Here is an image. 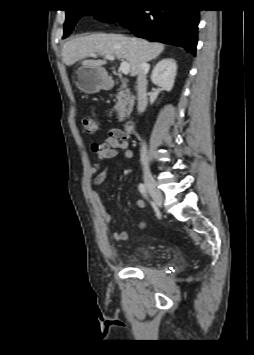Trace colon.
I'll list each match as a JSON object with an SVG mask.
<instances>
[{
  "label": "colon",
  "mask_w": 254,
  "mask_h": 355,
  "mask_svg": "<svg viewBox=\"0 0 254 355\" xmlns=\"http://www.w3.org/2000/svg\"><path fill=\"white\" fill-rule=\"evenodd\" d=\"M82 127L85 133L94 134L97 132V123L93 118L85 117L82 120Z\"/></svg>",
  "instance_id": "colon-1"
}]
</instances>
